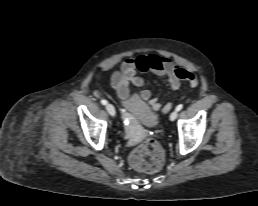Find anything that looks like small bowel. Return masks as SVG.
I'll return each instance as SVG.
<instances>
[{
  "instance_id": "1",
  "label": "small bowel",
  "mask_w": 258,
  "mask_h": 206,
  "mask_svg": "<svg viewBox=\"0 0 258 206\" xmlns=\"http://www.w3.org/2000/svg\"><path fill=\"white\" fill-rule=\"evenodd\" d=\"M151 72L159 77L166 79L170 87L178 91L182 83L187 81H195L197 77L190 71L175 64L172 60L166 57L157 55H143L137 58H125L119 69L111 75V86L121 99H125L129 95V87H143L145 85L144 78L140 73ZM195 84V85H196ZM141 97L147 101L154 110H159L162 107L161 102L156 98H151V92L145 89L141 92ZM171 107V103H167L163 111L167 112Z\"/></svg>"
}]
</instances>
